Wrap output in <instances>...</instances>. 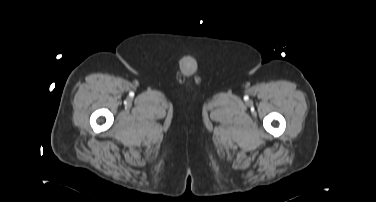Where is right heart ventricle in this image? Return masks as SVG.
Here are the masks:
<instances>
[{"instance_id":"obj_1","label":"right heart ventricle","mask_w":376,"mask_h":202,"mask_svg":"<svg viewBox=\"0 0 376 202\" xmlns=\"http://www.w3.org/2000/svg\"><path fill=\"white\" fill-rule=\"evenodd\" d=\"M53 88H54V85L52 86V88H50V90H53Z\"/></svg>"}]
</instances>
